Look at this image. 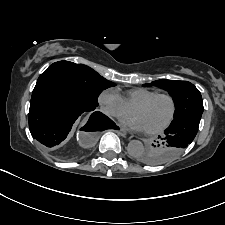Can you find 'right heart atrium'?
Returning <instances> with one entry per match:
<instances>
[{"instance_id":"1","label":"right heart atrium","mask_w":225,"mask_h":225,"mask_svg":"<svg viewBox=\"0 0 225 225\" xmlns=\"http://www.w3.org/2000/svg\"><path fill=\"white\" fill-rule=\"evenodd\" d=\"M98 102L103 113L110 117H119L128 112L127 105L115 89L103 90L98 97Z\"/></svg>"}]
</instances>
